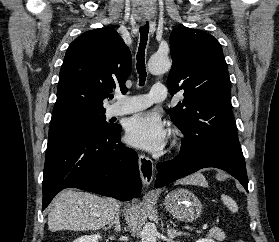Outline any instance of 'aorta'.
I'll list each match as a JSON object with an SVG mask.
<instances>
[{"label": "aorta", "instance_id": "1", "mask_svg": "<svg viewBox=\"0 0 279 242\" xmlns=\"http://www.w3.org/2000/svg\"><path fill=\"white\" fill-rule=\"evenodd\" d=\"M171 67V62L166 55L154 54L148 61V70L152 74L167 72ZM141 242H156L157 229L153 223H146L142 230Z\"/></svg>", "mask_w": 279, "mask_h": 242}]
</instances>
